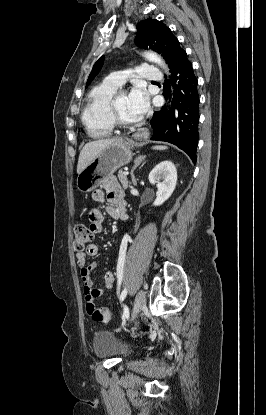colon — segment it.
<instances>
[{
  "instance_id": "obj_1",
  "label": "colon",
  "mask_w": 266,
  "mask_h": 415,
  "mask_svg": "<svg viewBox=\"0 0 266 415\" xmlns=\"http://www.w3.org/2000/svg\"><path fill=\"white\" fill-rule=\"evenodd\" d=\"M93 238V231L90 226L79 224L74 231V247L76 250L84 249ZM92 318L97 322H108L111 318V311L106 307L94 308L90 312Z\"/></svg>"
}]
</instances>
